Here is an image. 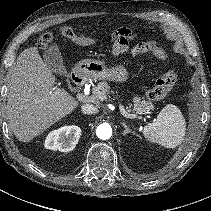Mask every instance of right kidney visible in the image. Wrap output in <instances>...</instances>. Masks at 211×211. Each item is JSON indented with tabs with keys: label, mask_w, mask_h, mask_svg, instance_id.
I'll return each instance as SVG.
<instances>
[{
	"label": "right kidney",
	"mask_w": 211,
	"mask_h": 211,
	"mask_svg": "<svg viewBox=\"0 0 211 211\" xmlns=\"http://www.w3.org/2000/svg\"><path fill=\"white\" fill-rule=\"evenodd\" d=\"M81 132L80 127L75 125L61 127L47 135L44 146L61 152L72 151L79 141Z\"/></svg>",
	"instance_id": "obj_1"
}]
</instances>
